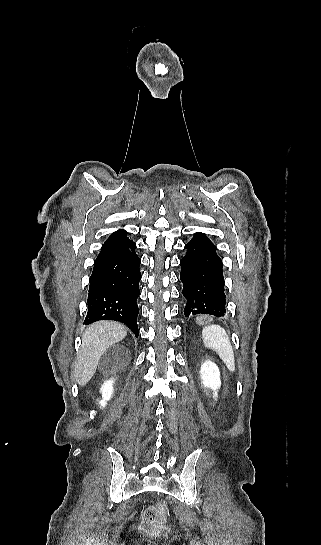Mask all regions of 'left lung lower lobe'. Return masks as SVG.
I'll return each mask as SVG.
<instances>
[{
  "instance_id": "1",
  "label": "left lung lower lobe",
  "mask_w": 321,
  "mask_h": 545,
  "mask_svg": "<svg viewBox=\"0 0 321 545\" xmlns=\"http://www.w3.org/2000/svg\"><path fill=\"white\" fill-rule=\"evenodd\" d=\"M186 255L181 259L180 279L186 298L184 314L224 316L225 294L222 261L215 245L203 233H196L185 245Z\"/></svg>"
}]
</instances>
